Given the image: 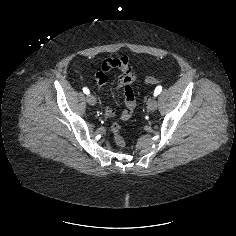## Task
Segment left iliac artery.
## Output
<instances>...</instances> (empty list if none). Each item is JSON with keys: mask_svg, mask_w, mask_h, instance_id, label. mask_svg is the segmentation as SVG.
Instances as JSON below:
<instances>
[{"mask_svg": "<svg viewBox=\"0 0 236 236\" xmlns=\"http://www.w3.org/2000/svg\"><path fill=\"white\" fill-rule=\"evenodd\" d=\"M162 91V86H157L154 91V96H157Z\"/></svg>", "mask_w": 236, "mask_h": 236, "instance_id": "obj_1", "label": "left iliac artery"}]
</instances>
